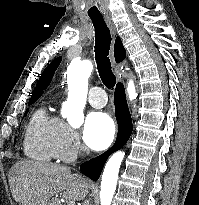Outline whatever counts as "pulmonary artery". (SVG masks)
I'll use <instances>...</instances> for the list:
<instances>
[{
    "instance_id": "e3ab8cb5",
    "label": "pulmonary artery",
    "mask_w": 199,
    "mask_h": 205,
    "mask_svg": "<svg viewBox=\"0 0 199 205\" xmlns=\"http://www.w3.org/2000/svg\"><path fill=\"white\" fill-rule=\"evenodd\" d=\"M89 103L95 108H102L106 105L107 97L101 87H93L89 92Z\"/></svg>"
}]
</instances>
